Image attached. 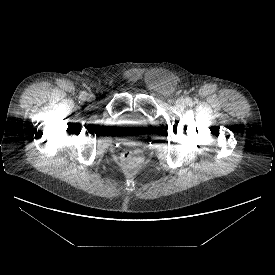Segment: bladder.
I'll list each match as a JSON object with an SVG mask.
<instances>
[{"instance_id": "obj_1", "label": "bladder", "mask_w": 275, "mask_h": 275, "mask_svg": "<svg viewBox=\"0 0 275 275\" xmlns=\"http://www.w3.org/2000/svg\"><path fill=\"white\" fill-rule=\"evenodd\" d=\"M117 120H118L120 126H133L132 124L125 123V120L122 117L117 118ZM135 126L136 127H144L145 124L141 123V124H136Z\"/></svg>"}]
</instances>
